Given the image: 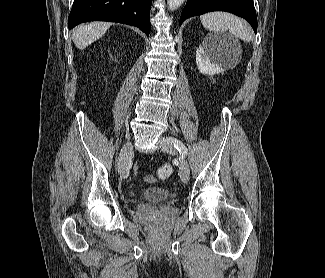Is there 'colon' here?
Listing matches in <instances>:
<instances>
[{
  "mask_svg": "<svg viewBox=\"0 0 325 278\" xmlns=\"http://www.w3.org/2000/svg\"><path fill=\"white\" fill-rule=\"evenodd\" d=\"M173 172V167L170 164H165L160 166L156 171V177L159 180H166L168 179ZM148 180H151L149 177Z\"/></svg>",
  "mask_w": 325,
  "mask_h": 278,
  "instance_id": "1",
  "label": "colon"
}]
</instances>
